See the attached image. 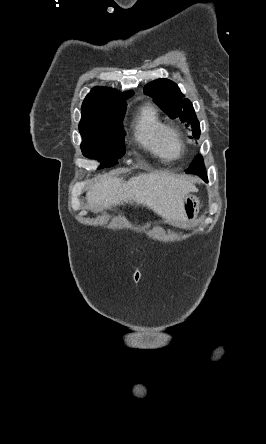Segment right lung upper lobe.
<instances>
[{
  "mask_svg": "<svg viewBox=\"0 0 266 444\" xmlns=\"http://www.w3.org/2000/svg\"><path fill=\"white\" fill-rule=\"evenodd\" d=\"M133 95V91L121 93L112 88L96 87L86 96L82 110H87L98 105L110 102H123Z\"/></svg>",
  "mask_w": 266,
  "mask_h": 444,
  "instance_id": "1",
  "label": "right lung upper lobe"
}]
</instances>
